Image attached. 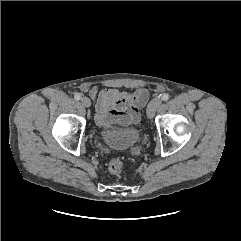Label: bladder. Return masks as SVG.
Instances as JSON below:
<instances>
[{
  "instance_id": "1",
  "label": "bladder",
  "mask_w": 241,
  "mask_h": 241,
  "mask_svg": "<svg viewBox=\"0 0 241 241\" xmlns=\"http://www.w3.org/2000/svg\"><path fill=\"white\" fill-rule=\"evenodd\" d=\"M140 132L137 129L126 131H104L103 141L111 148L116 150H127L132 148L138 141Z\"/></svg>"
}]
</instances>
